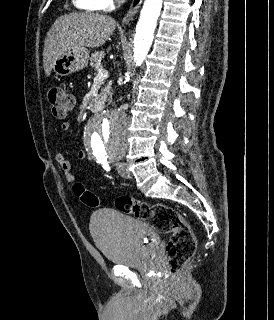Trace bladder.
Wrapping results in <instances>:
<instances>
[{
    "mask_svg": "<svg viewBox=\"0 0 274 320\" xmlns=\"http://www.w3.org/2000/svg\"><path fill=\"white\" fill-rule=\"evenodd\" d=\"M89 230L100 253L112 265L146 263L159 246V237L150 224L109 209L92 214Z\"/></svg>",
    "mask_w": 274,
    "mask_h": 320,
    "instance_id": "31cf9c89",
    "label": "bladder"
}]
</instances>
